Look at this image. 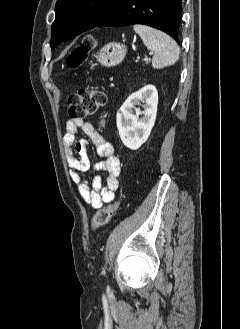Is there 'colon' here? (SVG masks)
<instances>
[{
    "instance_id": "5ec220e1",
    "label": "colon",
    "mask_w": 240,
    "mask_h": 329,
    "mask_svg": "<svg viewBox=\"0 0 240 329\" xmlns=\"http://www.w3.org/2000/svg\"><path fill=\"white\" fill-rule=\"evenodd\" d=\"M95 40L92 36H87L82 43L76 47L67 59V65L70 69L80 67L88 53L94 47ZM106 101L105 94L100 89L78 90L69 97V115L73 119H82L93 115ZM120 207V202L116 201L100 208L91 219L93 229L107 224L113 214Z\"/></svg>"
}]
</instances>
